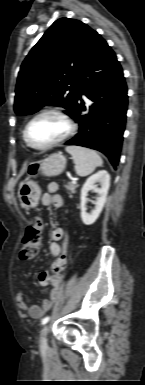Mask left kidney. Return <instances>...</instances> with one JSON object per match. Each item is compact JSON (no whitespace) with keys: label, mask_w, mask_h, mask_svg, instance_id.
I'll use <instances>...</instances> for the list:
<instances>
[{"label":"left kidney","mask_w":145,"mask_h":385,"mask_svg":"<svg viewBox=\"0 0 145 385\" xmlns=\"http://www.w3.org/2000/svg\"><path fill=\"white\" fill-rule=\"evenodd\" d=\"M100 183L101 187L98 188L96 183ZM110 186V175L105 170H100L97 173L90 176L81 189L80 195V209H81V218L85 225H92L99 217L104 204L106 202L107 193ZM90 190L98 193V197L94 202L95 208L89 214L86 212V202L87 194Z\"/></svg>","instance_id":"5707ae66"}]
</instances>
